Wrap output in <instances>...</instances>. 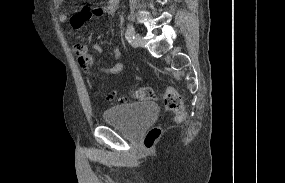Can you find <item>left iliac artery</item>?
Listing matches in <instances>:
<instances>
[{
	"mask_svg": "<svg viewBox=\"0 0 285 183\" xmlns=\"http://www.w3.org/2000/svg\"><path fill=\"white\" fill-rule=\"evenodd\" d=\"M134 35H135V30L134 27L132 25H128L127 26V30L125 33V37L126 39L131 42L134 39Z\"/></svg>",
	"mask_w": 285,
	"mask_h": 183,
	"instance_id": "44dca946",
	"label": "left iliac artery"
}]
</instances>
